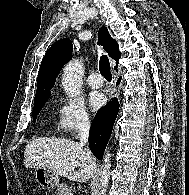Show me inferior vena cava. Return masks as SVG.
I'll return each mask as SVG.
<instances>
[{
  "label": "inferior vena cava",
  "mask_w": 189,
  "mask_h": 195,
  "mask_svg": "<svg viewBox=\"0 0 189 195\" xmlns=\"http://www.w3.org/2000/svg\"><path fill=\"white\" fill-rule=\"evenodd\" d=\"M78 135L80 138V144L84 146L88 142L90 122L87 116H83L77 121Z\"/></svg>",
  "instance_id": "obj_1"
}]
</instances>
